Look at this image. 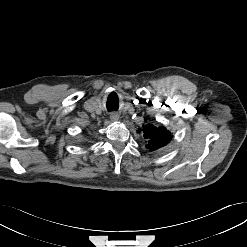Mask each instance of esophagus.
<instances>
[{
    "label": "esophagus",
    "instance_id": "esophagus-1",
    "mask_svg": "<svg viewBox=\"0 0 247 247\" xmlns=\"http://www.w3.org/2000/svg\"><path fill=\"white\" fill-rule=\"evenodd\" d=\"M110 119H111L112 121H118V120H119V115H118L117 113H112V114L110 115Z\"/></svg>",
    "mask_w": 247,
    "mask_h": 247
}]
</instances>
